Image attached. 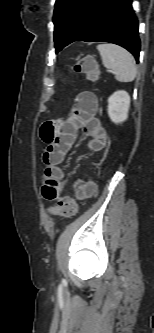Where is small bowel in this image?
I'll return each mask as SVG.
<instances>
[{
  "label": "small bowel",
  "mask_w": 154,
  "mask_h": 333,
  "mask_svg": "<svg viewBox=\"0 0 154 333\" xmlns=\"http://www.w3.org/2000/svg\"><path fill=\"white\" fill-rule=\"evenodd\" d=\"M98 100L90 91L80 92L74 101L70 115L65 119L45 121L40 128V137L46 144L43 154L45 168L42 173V195L47 200L59 197L63 188L64 172L60 167L66 154L76 140L80 129L89 138L91 151L99 152L108 144V133L96 117ZM94 185L85 183L77 190L80 199L93 192Z\"/></svg>",
  "instance_id": "small-bowel-1"
}]
</instances>
